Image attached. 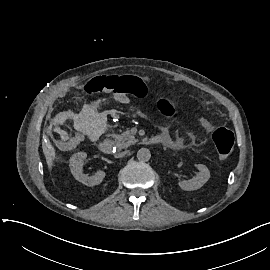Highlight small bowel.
I'll return each instance as SVG.
<instances>
[{"instance_id": "c3829d8e", "label": "small bowel", "mask_w": 270, "mask_h": 270, "mask_svg": "<svg viewBox=\"0 0 270 270\" xmlns=\"http://www.w3.org/2000/svg\"><path fill=\"white\" fill-rule=\"evenodd\" d=\"M114 99L116 102L123 105H127L130 103L129 97L124 94H116L114 96ZM201 125L206 131H209L211 129L210 123L205 119L201 120ZM158 137L162 144L175 149L184 148L189 142L188 138L177 134H172L167 128H162L159 132ZM46 138L50 143L57 144V147L60 150L70 151L75 147V144L79 141L80 136H75L71 139L63 138L62 131L57 127H52L47 131Z\"/></svg>"}]
</instances>
